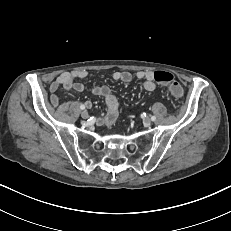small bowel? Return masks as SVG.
Here are the masks:
<instances>
[{
  "mask_svg": "<svg viewBox=\"0 0 231 231\" xmlns=\"http://www.w3.org/2000/svg\"><path fill=\"white\" fill-rule=\"evenodd\" d=\"M89 75L87 70H74L71 72L61 73L55 81L51 84V102L54 105L59 104V97L57 92L59 88H63L66 91L82 92L86 89L85 85L77 82V80L85 79ZM136 77L142 80L143 88L146 91L153 92L156 89V84L153 79L152 71L141 70L136 73ZM112 78L116 81L129 83L133 80V75L128 71H115L112 74ZM90 91L97 96L103 97L106 103V113L98 119L100 125L110 126L117 118L119 111V101L117 97L111 92L110 88L106 85L95 86ZM86 107L91 108V102H86ZM68 103L60 105L61 110H66Z\"/></svg>",
  "mask_w": 231,
  "mask_h": 231,
  "instance_id": "1",
  "label": "small bowel"
}]
</instances>
